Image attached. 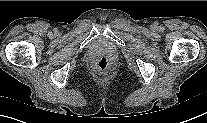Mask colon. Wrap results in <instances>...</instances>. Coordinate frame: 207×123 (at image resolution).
I'll return each instance as SVG.
<instances>
[{
  "label": "colon",
  "mask_w": 207,
  "mask_h": 123,
  "mask_svg": "<svg viewBox=\"0 0 207 123\" xmlns=\"http://www.w3.org/2000/svg\"><path fill=\"white\" fill-rule=\"evenodd\" d=\"M97 67L99 68V69H101V70H105V69H107L108 68V66H109V62H108V60H107V58H105V57H101V58H99L98 60H97Z\"/></svg>",
  "instance_id": "1"
}]
</instances>
